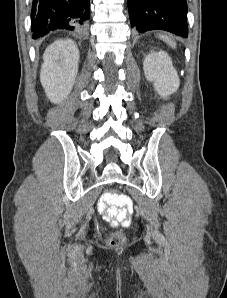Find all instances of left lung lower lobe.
<instances>
[{
  "instance_id": "1",
  "label": "left lung lower lobe",
  "mask_w": 227,
  "mask_h": 298,
  "mask_svg": "<svg viewBox=\"0 0 227 298\" xmlns=\"http://www.w3.org/2000/svg\"><path fill=\"white\" fill-rule=\"evenodd\" d=\"M131 27L139 33L162 29L187 37L186 0H127Z\"/></svg>"
}]
</instances>
